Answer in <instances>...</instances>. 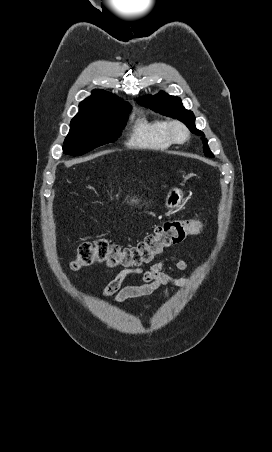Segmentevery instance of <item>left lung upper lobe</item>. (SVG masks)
<instances>
[{"label":"left lung upper lobe","instance_id":"obj_1","mask_svg":"<svg viewBox=\"0 0 272 452\" xmlns=\"http://www.w3.org/2000/svg\"><path fill=\"white\" fill-rule=\"evenodd\" d=\"M137 102L145 107L151 108L163 115L178 119L185 123L191 132L204 136L203 132L195 127V116L192 111L186 110L181 102V99L176 96H170L164 92L151 96L147 95L137 99ZM204 153L207 157H213L210 151L207 140L202 138Z\"/></svg>","mask_w":272,"mask_h":452}]
</instances>
